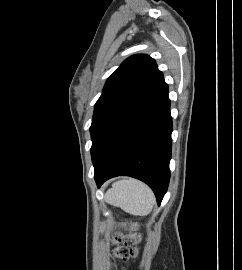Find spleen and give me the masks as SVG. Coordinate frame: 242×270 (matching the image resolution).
Wrapping results in <instances>:
<instances>
[{
  "label": "spleen",
  "mask_w": 242,
  "mask_h": 270,
  "mask_svg": "<svg viewBox=\"0 0 242 270\" xmlns=\"http://www.w3.org/2000/svg\"><path fill=\"white\" fill-rule=\"evenodd\" d=\"M105 201L130 214L146 215L152 210L155 197L147 185L127 178L113 184L105 194Z\"/></svg>",
  "instance_id": "3e777b00"
}]
</instances>
